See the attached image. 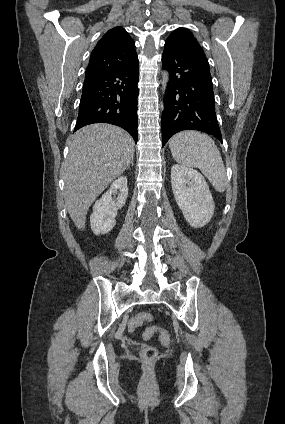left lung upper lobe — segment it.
<instances>
[{
    "instance_id": "obj_1",
    "label": "left lung upper lobe",
    "mask_w": 285,
    "mask_h": 424,
    "mask_svg": "<svg viewBox=\"0 0 285 424\" xmlns=\"http://www.w3.org/2000/svg\"><path fill=\"white\" fill-rule=\"evenodd\" d=\"M167 39L180 40L185 43L199 45L192 33L186 28H178Z\"/></svg>"
}]
</instances>
